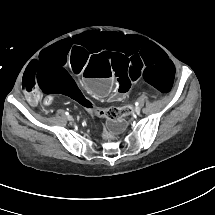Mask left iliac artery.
I'll list each match as a JSON object with an SVG mask.
<instances>
[{"label": "left iliac artery", "mask_w": 215, "mask_h": 215, "mask_svg": "<svg viewBox=\"0 0 215 215\" xmlns=\"http://www.w3.org/2000/svg\"><path fill=\"white\" fill-rule=\"evenodd\" d=\"M135 105H136V107H139V102L137 101V102L135 103Z\"/></svg>", "instance_id": "1"}]
</instances>
